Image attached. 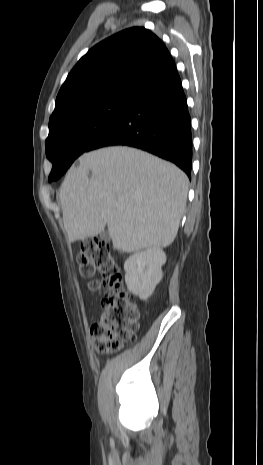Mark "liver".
<instances>
[{"instance_id": "liver-1", "label": "liver", "mask_w": 263, "mask_h": 465, "mask_svg": "<svg viewBox=\"0 0 263 465\" xmlns=\"http://www.w3.org/2000/svg\"><path fill=\"white\" fill-rule=\"evenodd\" d=\"M188 183L178 167L138 149L85 153L60 188L69 241L95 236L107 225L113 247L122 252L165 248L177 235Z\"/></svg>"}]
</instances>
